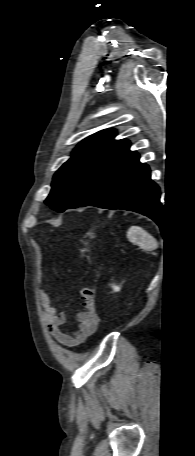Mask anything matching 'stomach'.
I'll list each match as a JSON object with an SVG mask.
<instances>
[{
  "mask_svg": "<svg viewBox=\"0 0 195 456\" xmlns=\"http://www.w3.org/2000/svg\"><path fill=\"white\" fill-rule=\"evenodd\" d=\"M87 235L90 236L91 238L93 237V233L92 232H88Z\"/></svg>",
  "mask_w": 195,
  "mask_h": 456,
  "instance_id": "1",
  "label": "stomach"
}]
</instances>
